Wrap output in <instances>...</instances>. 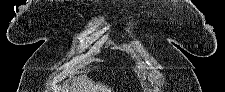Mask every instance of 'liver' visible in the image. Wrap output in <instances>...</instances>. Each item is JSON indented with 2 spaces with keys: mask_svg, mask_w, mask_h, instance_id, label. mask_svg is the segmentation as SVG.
I'll return each instance as SVG.
<instances>
[{
  "mask_svg": "<svg viewBox=\"0 0 225 92\" xmlns=\"http://www.w3.org/2000/svg\"><path fill=\"white\" fill-rule=\"evenodd\" d=\"M68 92H112L110 88L107 86L98 83L97 85L86 76L77 79L72 82V84L68 87Z\"/></svg>",
  "mask_w": 225,
  "mask_h": 92,
  "instance_id": "1",
  "label": "liver"
}]
</instances>
